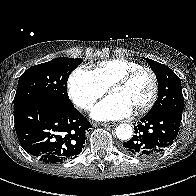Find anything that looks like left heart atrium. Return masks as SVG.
<instances>
[{"mask_svg":"<svg viewBox=\"0 0 196 196\" xmlns=\"http://www.w3.org/2000/svg\"><path fill=\"white\" fill-rule=\"evenodd\" d=\"M132 107L115 95H109L92 110L91 116L99 121L118 120L131 115Z\"/></svg>","mask_w":196,"mask_h":196,"instance_id":"left-heart-atrium-1","label":"left heart atrium"}]
</instances>
